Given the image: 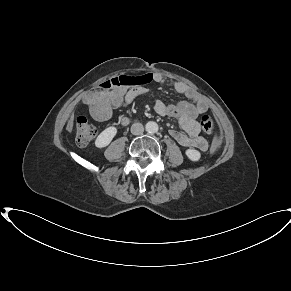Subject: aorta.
<instances>
[{
    "label": "aorta",
    "instance_id": "aorta-1",
    "mask_svg": "<svg viewBox=\"0 0 291 291\" xmlns=\"http://www.w3.org/2000/svg\"><path fill=\"white\" fill-rule=\"evenodd\" d=\"M146 130L149 133H156L158 131V124L156 122L150 121L146 124Z\"/></svg>",
    "mask_w": 291,
    "mask_h": 291
}]
</instances>
